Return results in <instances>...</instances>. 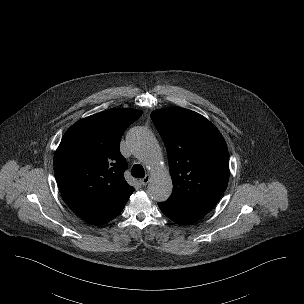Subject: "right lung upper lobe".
I'll list each match as a JSON object with an SVG mask.
<instances>
[{
	"instance_id": "cb5924a9",
	"label": "right lung upper lobe",
	"mask_w": 304,
	"mask_h": 304,
	"mask_svg": "<svg viewBox=\"0 0 304 304\" xmlns=\"http://www.w3.org/2000/svg\"><path fill=\"white\" fill-rule=\"evenodd\" d=\"M142 111L109 109L73 124L54 156V174L69 207L91 224L105 223L123 208L134 188L123 172L119 143Z\"/></svg>"
}]
</instances>
